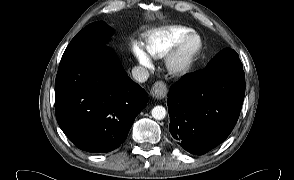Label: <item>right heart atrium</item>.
<instances>
[{"instance_id": "1", "label": "right heart atrium", "mask_w": 294, "mask_h": 180, "mask_svg": "<svg viewBox=\"0 0 294 180\" xmlns=\"http://www.w3.org/2000/svg\"><path fill=\"white\" fill-rule=\"evenodd\" d=\"M131 52L140 65L144 67H149L151 65V58L138 44H132Z\"/></svg>"}]
</instances>
